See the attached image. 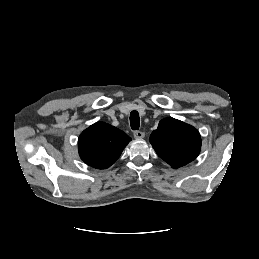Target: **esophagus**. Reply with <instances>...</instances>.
Listing matches in <instances>:
<instances>
[{
  "label": "esophagus",
  "instance_id": "obj_1",
  "mask_svg": "<svg viewBox=\"0 0 259 259\" xmlns=\"http://www.w3.org/2000/svg\"><path fill=\"white\" fill-rule=\"evenodd\" d=\"M133 135L136 139L144 138V133L142 131H134Z\"/></svg>",
  "mask_w": 259,
  "mask_h": 259
}]
</instances>
